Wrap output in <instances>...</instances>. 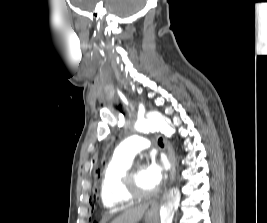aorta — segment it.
<instances>
[{
    "instance_id": "aorta-1",
    "label": "aorta",
    "mask_w": 267,
    "mask_h": 223,
    "mask_svg": "<svg viewBox=\"0 0 267 223\" xmlns=\"http://www.w3.org/2000/svg\"><path fill=\"white\" fill-rule=\"evenodd\" d=\"M137 131H158L167 137H171L175 130L169 121L162 116H153L144 120H140L135 124ZM181 201V195L177 189L167 192L160 202V222L172 223L174 213Z\"/></svg>"
}]
</instances>
